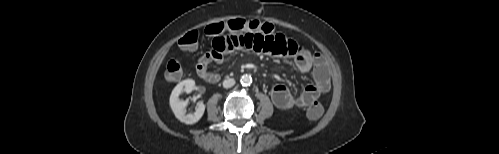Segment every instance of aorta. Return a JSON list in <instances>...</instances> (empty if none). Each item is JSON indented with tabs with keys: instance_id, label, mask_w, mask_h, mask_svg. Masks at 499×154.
<instances>
[{
	"instance_id": "762f6f07",
	"label": "aorta",
	"mask_w": 499,
	"mask_h": 154,
	"mask_svg": "<svg viewBox=\"0 0 499 154\" xmlns=\"http://www.w3.org/2000/svg\"><path fill=\"white\" fill-rule=\"evenodd\" d=\"M242 86H250L252 83V77L250 75H243L240 79Z\"/></svg>"
}]
</instances>
